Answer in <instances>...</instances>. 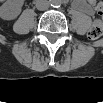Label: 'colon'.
Here are the masks:
<instances>
[{"instance_id":"obj_1","label":"colon","mask_w":103,"mask_h":103,"mask_svg":"<svg viewBox=\"0 0 103 103\" xmlns=\"http://www.w3.org/2000/svg\"><path fill=\"white\" fill-rule=\"evenodd\" d=\"M92 4L93 7L98 12V14L101 15L103 12V3L101 1H95ZM102 34H103V21L101 18H97L96 20H94L89 29L88 37L92 40H96L100 38Z\"/></svg>"}]
</instances>
